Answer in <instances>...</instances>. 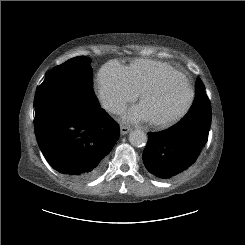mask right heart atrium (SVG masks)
<instances>
[{
    "mask_svg": "<svg viewBox=\"0 0 245 245\" xmlns=\"http://www.w3.org/2000/svg\"><path fill=\"white\" fill-rule=\"evenodd\" d=\"M95 87L100 101L113 114H121L139 95L131 84L127 68L117 61L101 68Z\"/></svg>",
    "mask_w": 245,
    "mask_h": 245,
    "instance_id": "right-heart-atrium-1",
    "label": "right heart atrium"
}]
</instances>
